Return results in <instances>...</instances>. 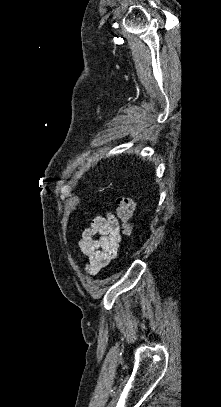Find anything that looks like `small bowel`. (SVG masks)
<instances>
[{
    "instance_id": "obj_1",
    "label": "small bowel",
    "mask_w": 221,
    "mask_h": 407,
    "mask_svg": "<svg viewBox=\"0 0 221 407\" xmlns=\"http://www.w3.org/2000/svg\"><path fill=\"white\" fill-rule=\"evenodd\" d=\"M121 240L118 219L111 212L96 217L84 228L77 245L84 258L85 271L97 274L116 256Z\"/></svg>"
}]
</instances>
